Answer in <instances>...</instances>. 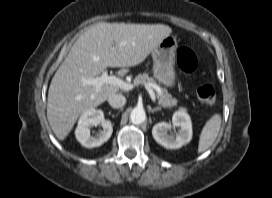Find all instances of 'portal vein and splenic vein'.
<instances>
[{"instance_id": "obj_1", "label": "portal vein and splenic vein", "mask_w": 272, "mask_h": 198, "mask_svg": "<svg viewBox=\"0 0 272 198\" xmlns=\"http://www.w3.org/2000/svg\"><path fill=\"white\" fill-rule=\"evenodd\" d=\"M81 81H82V84L84 85H94L96 87V90H99L101 86L104 84L113 85L125 91L132 90L135 87L134 84L127 83L116 76L108 75L107 71H104L100 77L89 78V79L82 78ZM145 87L151 97V100L155 102L156 96L151 86L146 84Z\"/></svg>"}]
</instances>
